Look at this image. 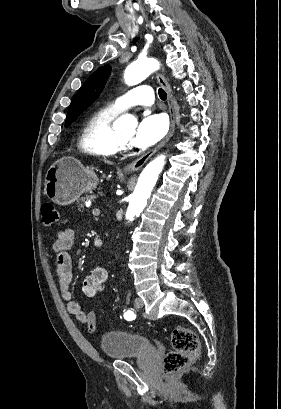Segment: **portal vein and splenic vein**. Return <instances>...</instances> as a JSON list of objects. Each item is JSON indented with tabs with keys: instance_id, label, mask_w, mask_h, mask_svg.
<instances>
[{
	"instance_id": "obj_1",
	"label": "portal vein and splenic vein",
	"mask_w": 281,
	"mask_h": 409,
	"mask_svg": "<svg viewBox=\"0 0 281 409\" xmlns=\"http://www.w3.org/2000/svg\"><path fill=\"white\" fill-rule=\"evenodd\" d=\"M94 211H93V216L94 217H96V218H99L100 217V212H101V207L100 206H95L94 207V209H93Z\"/></svg>"
}]
</instances>
